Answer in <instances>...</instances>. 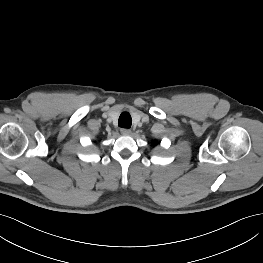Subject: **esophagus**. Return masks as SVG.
<instances>
[{
    "label": "esophagus",
    "mask_w": 263,
    "mask_h": 263,
    "mask_svg": "<svg viewBox=\"0 0 263 263\" xmlns=\"http://www.w3.org/2000/svg\"><path fill=\"white\" fill-rule=\"evenodd\" d=\"M120 131H121L122 135H130L131 134V130L127 129V128H122Z\"/></svg>",
    "instance_id": "esophagus-1"
}]
</instances>
